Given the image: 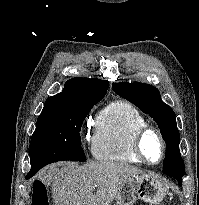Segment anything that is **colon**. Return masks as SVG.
Instances as JSON below:
<instances>
[{
	"label": "colon",
	"instance_id": "1",
	"mask_svg": "<svg viewBox=\"0 0 199 205\" xmlns=\"http://www.w3.org/2000/svg\"><path fill=\"white\" fill-rule=\"evenodd\" d=\"M32 205H49L45 187L35 186Z\"/></svg>",
	"mask_w": 199,
	"mask_h": 205
}]
</instances>
